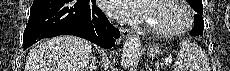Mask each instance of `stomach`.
<instances>
[{"label": "stomach", "instance_id": "stomach-1", "mask_svg": "<svg viewBox=\"0 0 230 71\" xmlns=\"http://www.w3.org/2000/svg\"><path fill=\"white\" fill-rule=\"evenodd\" d=\"M147 52L150 57H158L161 54L159 47L156 45L150 46Z\"/></svg>", "mask_w": 230, "mask_h": 71}]
</instances>
